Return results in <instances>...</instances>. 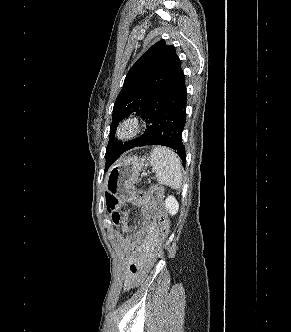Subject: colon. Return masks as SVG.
<instances>
[{"label": "colon", "mask_w": 291, "mask_h": 332, "mask_svg": "<svg viewBox=\"0 0 291 332\" xmlns=\"http://www.w3.org/2000/svg\"><path fill=\"white\" fill-rule=\"evenodd\" d=\"M163 195L162 188L158 186L151 187L148 190H144L139 195V204L141 209L144 213H151L156 211L157 205L154 199V196L157 199H161ZM106 205L107 210L113 220V222L117 225H122L123 223L127 222L126 217L121 214L118 210V200L112 196H106ZM158 221L160 223V236L159 241L155 245L151 256L141 265L136 266L133 268V275L130 281V287H137L139 286L144 279L146 278L147 274L154 266L157 260H159L163 255V248L165 246L168 234H169V222L166 216V213L163 210H158L156 213Z\"/></svg>", "instance_id": "obj_1"}]
</instances>
